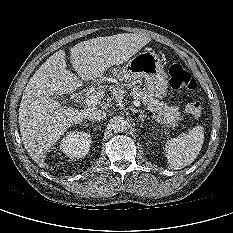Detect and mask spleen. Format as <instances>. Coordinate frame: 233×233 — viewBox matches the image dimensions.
<instances>
[{
    "label": "spleen",
    "instance_id": "spleen-1",
    "mask_svg": "<svg viewBox=\"0 0 233 233\" xmlns=\"http://www.w3.org/2000/svg\"><path fill=\"white\" fill-rule=\"evenodd\" d=\"M203 142L204 129L202 126L194 127L185 136L168 140L164 148L168 166L178 170L190 165L199 155Z\"/></svg>",
    "mask_w": 233,
    "mask_h": 233
}]
</instances>
